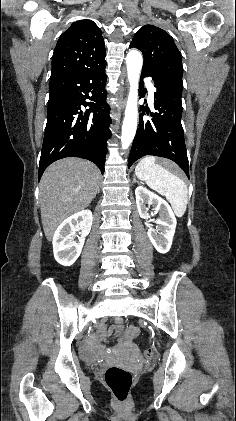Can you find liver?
<instances>
[{
	"mask_svg": "<svg viewBox=\"0 0 236 421\" xmlns=\"http://www.w3.org/2000/svg\"><path fill=\"white\" fill-rule=\"evenodd\" d=\"M97 166L84 158H61L50 164L40 180L42 227L52 241L57 227L94 198L99 184ZM69 198V200H67Z\"/></svg>",
	"mask_w": 236,
	"mask_h": 421,
	"instance_id": "6515ba94",
	"label": "liver"
}]
</instances>
